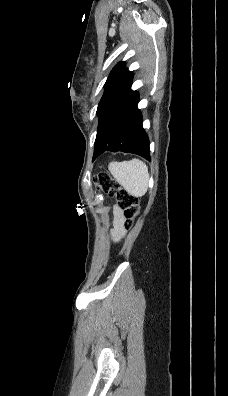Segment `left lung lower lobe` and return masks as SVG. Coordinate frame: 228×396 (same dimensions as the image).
Listing matches in <instances>:
<instances>
[{
    "label": "left lung lower lobe",
    "instance_id": "1",
    "mask_svg": "<svg viewBox=\"0 0 228 396\" xmlns=\"http://www.w3.org/2000/svg\"><path fill=\"white\" fill-rule=\"evenodd\" d=\"M138 102V92L129 88L105 111L97 129L93 160L105 151L134 153L150 160L149 139Z\"/></svg>",
    "mask_w": 228,
    "mask_h": 396
}]
</instances>
